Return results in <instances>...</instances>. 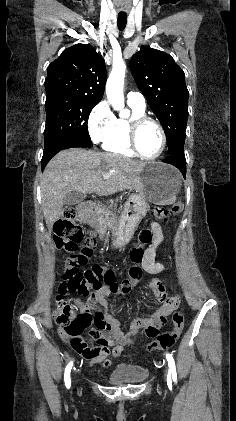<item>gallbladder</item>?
Instances as JSON below:
<instances>
[{"mask_svg":"<svg viewBox=\"0 0 236 421\" xmlns=\"http://www.w3.org/2000/svg\"><path fill=\"white\" fill-rule=\"evenodd\" d=\"M85 196L86 194L80 192V190H71V192H67L64 204H78V202L84 200Z\"/></svg>","mask_w":236,"mask_h":421,"instance_id":"gallbladder-1","label":"gallbladder"}]
</instances>
